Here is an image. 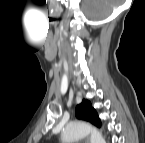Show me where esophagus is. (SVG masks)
Wrapping results in <instances>:
<instances>
[{"instance_id": "34e87169", "label": "esophagus", "mask_w": 145, "mask_h": 143, "mask_svg": "<svg viewBox=\"0 0 145 143\" xmlns=\"http://www.w3.org/2000/svg\"><path fill=\"white\" fill-rule=\"evenodd\" d=\"M86 143H89V139H87Z\"/></svg>"}]
</instances>
